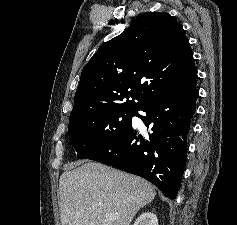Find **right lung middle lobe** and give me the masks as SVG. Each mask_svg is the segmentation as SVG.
I'll list each match as a JSON object with an SVG mask.
<instances>
[{
  "mask_svg": "<svg viewBox=\"0 0 237 225\" xmlns=\"http://www.w3.org/2000/svg\"><path fill=\"white\" fill-rule=\"evenodd\" d=\"M135 112L110 111L69 124L68 133L79 159L105 148L132 124Z\"/></svg>",
  "mask_w": 237,
  "mask_h": 225,
  "instance_id": "dd1d6c3e",
  "label": "right lung middle lobe"
}]
</instances>
